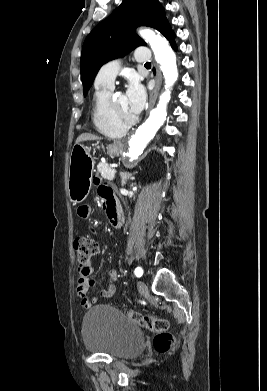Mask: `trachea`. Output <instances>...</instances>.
<instances>
[{
  "label": "trachea",
  "mask_w": 267,
  "mask_h": 391,
  "mask_svg": "<svg viewBox=\"0 0 267 391\" xmlns=\"http://www.w3.org/2000/svg\"><path fill=\"white\" fill-rule=\"evenodd\" d=\"M151 65V63L150 62H147L146 64H145V66H150Z\"/></svg>",
  "instance_id": "3493384b"
}]
</instances>
